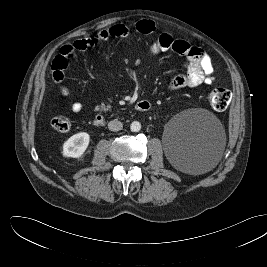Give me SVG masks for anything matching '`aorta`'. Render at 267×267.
Masks as SVG:
<instances>
[{
  "instance_id": "762f6f07",
  "label": "aorta",
  "mask_w": 267,
  "mask_h": 267,
  "mask_svg": "<svg viewBox=\"0 0 267 267\" xmlns=\"http://www.w3.org/2000/svg\"><path fill=\"white\" fill-rule=\"evenodd\" d=\"M130 129L132 132H139L141 130V124L138 121H134L130 125Z\"/></svg>"
}]
</instances>
